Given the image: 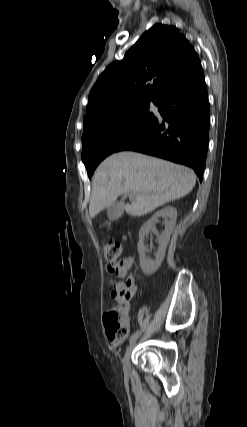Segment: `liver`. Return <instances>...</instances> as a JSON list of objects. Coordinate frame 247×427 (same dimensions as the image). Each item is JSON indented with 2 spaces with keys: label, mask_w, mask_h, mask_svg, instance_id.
I'll return each mask as SVG.
<instances>
[{
  "label": "liver",
  "mask_w": 247,
  "mask_h": 427,
  "mask_svg": "<svg viewBox=\"0 0 247 427\" xmlns=\"http://www.w3.org/2000/svg\"><path fill=\"white\" fill-rule=\"evenodd\" d=\"M195 183V173L185 166L131 151L115 153L93 176L89 215L94 218L121 194H131L133 200L125 205L126 213L143 216L185 197Z\"/></svg>",
  "instance_id": "obj_1"
}]
</instances>
